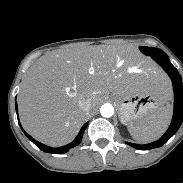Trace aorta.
Listing matches in <instances>:
<instances>
[{"mask_svg": "<svg viewBox=\"0 0 183 183\" xmlns=\"http://www.w3.org/2000/svg\"><path fill=\"white\" fill-rule=\"evenodd\" d=\"M100 113L103 117L109 118L114 114V107L110 103H105L100 108Z\"/></svg>", "mask_w": 183, "mask_h": 183, "instance_id": "obj_1", "label": "aorta"}]
</instances>
